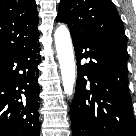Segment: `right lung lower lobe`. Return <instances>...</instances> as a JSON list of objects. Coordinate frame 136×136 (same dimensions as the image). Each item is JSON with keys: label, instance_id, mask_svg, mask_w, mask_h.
<instances>
[{"label": "right lung lower lobe", "instance_id": "1", "mask_svg": "<svg viewBox=\"0 0 136 136\" xmlns=\"http://www.w3.org/2000/svg\"><path fill=\"white\" fill-rule=\"evenodd\" d=\"M38 37L0 54V136H39Z\"/></svg>", "mask_w": 136, "mask_h": 136}]
</instances>
